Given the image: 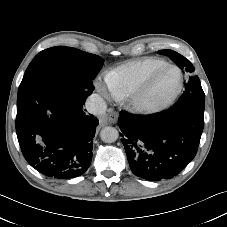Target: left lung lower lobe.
I'll return each mask as SVG.
<instances>
[{"instance_id": "obj_1", "label": "left lung lower lobe", "mask_w": 227, "mask_h": 227, "mask_svg": "<svg viewBox=\"0 0 227 227\" xmlns=\"http://www.w3.org/2000/svg\"><path fill=\"white\" fill-rule=\"evenodd\" d=\"M118 125L132 172L159 181L179 174L195 157L204 127V101L178 100L149 115L121 111Z\"/></svg>"}]
</instances>
